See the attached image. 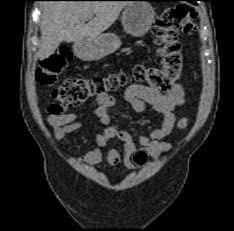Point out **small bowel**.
I'll return each mask as SVG.
<instances>
[{"label":"small bowel","instance_id":"small-bowel-1","mask_svg":"<svg viewBox=\"0 0 234 231\" xmlns=\"http://www.w3.org/2000/svg\"><path fill=\"white\" fill-rule=\"evenodd\" d=\"M125 98L136 113L152 115L160 121V127L151 130L138 138V144L151 157L157 158L171 149L169 142L163 141L174 129L187 126V119L176 121L175 108L185 103L184 89L176 84L167 94L141 84H132L125 90ZM147 104L152 109L148 110ZM116 99L108 94L96 97L94 101V116L105 125L104 129L94 134L96 148L76 157L77 162L83 164H98L106 160L112 166L124 164L131 168V156L134 152L132 136L121 129L119 124L112 121V113L116 110ZM47 122L53 128L56 141L62 140L66 135L80 130L83 124L80 116L61 112L57 105L47 108ZM114 141L122 144L123 153L112 146Z\"/></svg>","mask_w":234,"mask_h":231}]
</instances>
